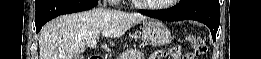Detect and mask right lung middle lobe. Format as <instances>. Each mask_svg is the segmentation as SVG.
<instances>
[{"instance_id":"right-lung-middle-lobe-1","label":"right lung middle lobe","mask_w":261,"mask_h":59,"mask_svg":"<svg viewBox=\"0 0 261 59\" xmlns=\"http://www.w3.org/2000/svg\"><path fill=\"white\" fill-rule=\"evenodd\" d=\"M41 0H36L35 4H39Z\"/></svg>"}]
</instances>
